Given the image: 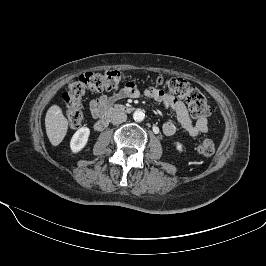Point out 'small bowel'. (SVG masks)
<instances>
[{
  "label": "small bowel",
  "instance_id": "c3829d8e",
  "mask_svg": "<svg viewBox=\"0 0 266 266\" xmlns=\"http://www.w3.org/2000/svg\"><path fill=\"white\" fill-rule=\"evenodd\" d=\"M143 94L174 111L180 126L191 136H198L199 134L206 133L209 130L206 117H200L194 121L185 104L169 92L149 87L145 89ZM140 95L141 92L138 87L134 83H128L122 90L111 96L101 95L92 99L89 104V112L92 117L97 118L102 115L107 106L113 104L114 102L126 97L138 98ZM162 130L166 136H172L176 132V126L173 122L167 121L163 124Z\"/></svg>",
  "mask_w": 266,
  "mask_h": 266
}]
</instances>
